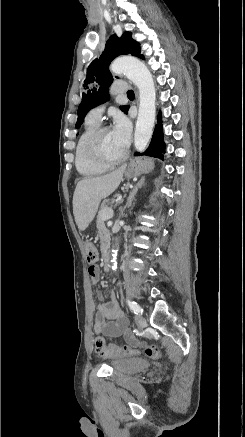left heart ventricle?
<instances>
[{"label": "left heart ventricle", "mask_w": 245, "mask_h": 437, "mask_svg": "<svg viewBox=\"0 0 245 437\" xmlns=\"http://www.w3.org/2000/svg\"><path fill=\"white\" fill-rule=\"evenodd\" d=\"M100 148L102 153L111 159L121 157L126 151L123 149L115 139L111 130L105 132L100 140Z\"/></svg>", "instance_id": "obj_1"}]
</instances>
